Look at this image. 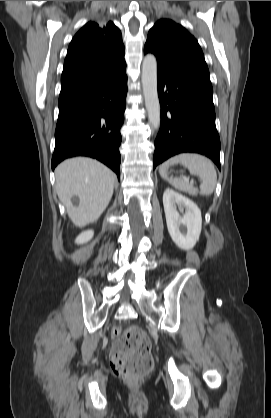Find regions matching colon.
<instances>
[{
    "mask_svg": "<svg viewBox=\"0 0 271 418\" xmlns=\"http://www.w3.org/2000/svg\"><path fill=\"white\" fill-rule=\"evenodd\" d=\"M114 345L110 364L114 374L122 379L134 381L147 374L153 367L151 342L146 332L138 327L126 330L114 328Z\"/></svg>",
    "mask_w": 271,
    "mask_h": 418,
    "instance_id": "5ec220e1",
    "label": "colon"
}]
</instances>
